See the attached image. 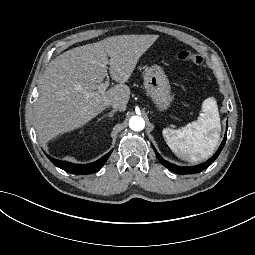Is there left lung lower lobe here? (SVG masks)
Masks as SVG:
<instances>
[{
    "mask_svg": "<svg viewBox=\"0 0 255 255\" xmlns=\"http://www.w3.org/2000/svg\"><path fill=\"white\" fill-rule=\"evenodd\" d=\"M226 137H227V131L225 133L224 139L219 147V149L217 150V152L214 154V156L212 158H210L207 162L199 164L197 166H193V167H181V166H177L175 164H172L166 160H164L155 150L154 146L152 145L153 149L156 152V156L158 158V160L165 166L167 167L169 170H171L172 172L184 175V174H192V173H199L201 171H203L204 169H206L209 165H211L212 162L215 161V159L219 156L220 152L222 151L225 142H226Z\"/></svg>",
    "mask_w": 255,
    "mask_h": 255,
    "instance_id": "1",
    "label": "left lung lower lobe"
}]
</instances>
